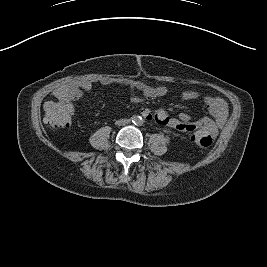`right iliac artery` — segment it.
I'll use <instances>...</instances> for the list:
<instances>
[{
	"instance_id": "right-iliac-artery-1",
	"label": "right iliac artery",
	"mask_w": 267,
	"mask_h": 267,
	"mask_svg": "<svg viewBox=\"0 0 267 267\" xmlns=\"http://www.w3.org/2000/svg\"><path fill=\"white\" fill-rule=\"evenodd\" d=\"M131 119H132V122H133V123H135V122L138 121V118H137L136 116H133Z\"/></svg>"
}]
</instances>
